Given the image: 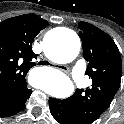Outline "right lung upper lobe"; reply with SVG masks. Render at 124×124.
<instances>
[{"label": "right lung upper lobe", "mask_w": 124, "mask_h": 124, "mask_svg": "<svg viewBox=\"0 0 124 124\" xmlns=\"http://www.w3.org/2000/svg\"><path fill=\"white\" fill-rule=\"evenodd\" d=\"M48 25L35 14H24L0 23V100L27 90L26 74L36 63L32 43Z\"/></svg>", "instance_id": "cb5924a9"}]
</instances>
